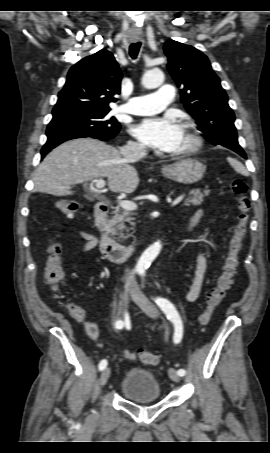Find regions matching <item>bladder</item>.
<instances>
[{
  "instance_id": "1",
  "label": "bladder",
  "mask_w": 270,
  "mask_h": 453,
  "mask_svg": "<svg viewBox=\"0 0 270 453\" xmlns=\"http://www.w3.org/2000/svg\"><path fill=\"white\" fill-rule=\"evenodd\" d=\"M120 391L129 401L151 403L161 399V386L156 377L147 370L130 369L121 381Z\"/></svg>"
}]
</instances>
